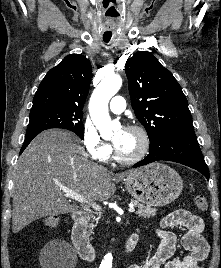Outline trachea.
<instances>
[{"mask_svg":"<svg viewBox=\"0 0 221 268\" xmlns=\"http://www.w3.org/2000/svg\"><path fill=\"white\" fill-rule=\"evenodd\" d=\"M105 42H109V40H105Z\"/></svg>","mask_w":221,"mask_h":268,"instance_id":"trachea-1","label":"trachea"}]
</instances>
